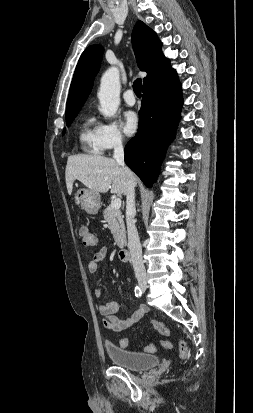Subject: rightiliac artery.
I'll use <instances>...</instances> for the list:
<instances>
[{"label": "right iliac artery", "mask_w": 253, "mask_h": 413, "mask_svg": "<svg viewBox=\"0 0 253 413\" xmlns=\"http://www.w3.org/2000/svg\"><path fill=\"white\" fill-rule=\"evenodd\" d=\"M134 291H135L136 297H140L142 295V291L139 286H136Z\"/></svg>", "instance_id": "1"}]
</instances>
